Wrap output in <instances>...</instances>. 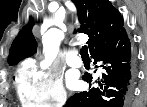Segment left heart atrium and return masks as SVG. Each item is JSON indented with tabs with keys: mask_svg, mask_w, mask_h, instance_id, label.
Instances as JSON below:
<instances>
[{
	"mask_svg": "<svg viewBox=\"0 0 147 107\" xmlns=\"http://www.w3.org/2000/svg\"><path fill=\"white\" fill-rule=\"evenodd\" d=\"M69 84H70V86L75 87L77 85V80L70 77L69 78Z\"/></svg>",
	"mask_w": 147,
	"mask_h": 107,
	"instance_id": "left-heart-atrium-1",
	"label": "left heart atrium"
}]
</instances>
